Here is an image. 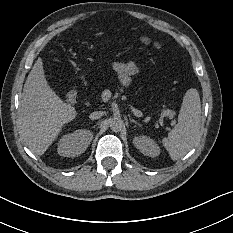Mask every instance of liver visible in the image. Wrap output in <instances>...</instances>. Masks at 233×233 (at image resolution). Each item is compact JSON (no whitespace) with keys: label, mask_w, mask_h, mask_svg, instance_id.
Segmentation results:
<instances>
[{"label":"liver","mask_w":233,"mask_h":233,"mask_svg":"<svg viewBox=\"0 0 233 233\" xmlns=\"http://www.w3.org/2000/svg\"><path fill=\"white\" fill-rule=\"evenodd\" d=\"M75 110L66 105L49 88L41 58L29 72L20 104V127L30 150L42 154L63 122L73 119Z\"/></svg>","instance_id":"1"}]
</instances>
